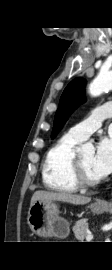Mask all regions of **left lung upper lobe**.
<instances>
[{"label": "left lung upper lobe", "mask_w": 112, "mask_h": 270, "mask_svg": "<svg viewBox=\"0 0 112 270\" xmlns=\"http://www.w3.org/2000/svg\"><path fill=\"white\" fill-rule=\"evenodd\" d=\"M86 80L76 78L65 88L55 115L54 127L51 137L54 138L62 129L71 113L85 101L84 87Z\"/></svg>", "instance_id": "obj_1"}]
</instances>
